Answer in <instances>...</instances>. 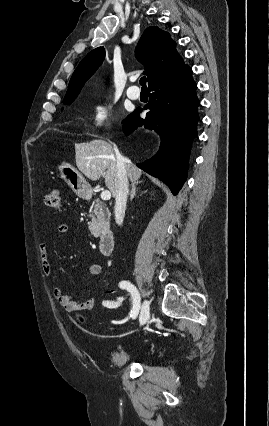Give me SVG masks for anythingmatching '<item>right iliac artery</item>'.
Instances as JSON below:
<instances>
[{
	"instance_id": "right-iliac-artery-1",
	"label": "right iliac artery",
	"mask_w": 269,
	"mask_h": 426,
	"mask_svg": "<svg viewBox=\"0 0 269 426\" xmlns=\"http://www.w3.org/2000/svg\"><path fill=\"white\" fill-rule=\"evenodd\" d=\"M120 286L124 289H126L132 298V310L130 313V317L132 319H135L139 313V309H140V294L137 290V288L131 284L130 282L127 281H122L120 282Z\"/></svg>"
}]
</instances>
